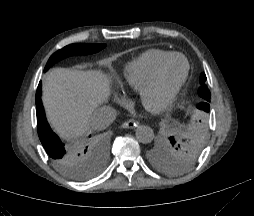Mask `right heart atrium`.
Returning a JSON list of instances; mask_svg holds the SVG:
<instances>
[{"label": "right heart atrium", "instance_id": "1", "mask_svg": "<svg viewBox=\"0 0 254 216\" xmlns=\"http://www.w3.org/2000/svg\"><path fill=\"white\" fill-rule=\"evenodd\" d=\"M117 102L120 104H126L128 102V99L127 97H120V98H117Z\"/></svg>", "mask_w": 254, "mask_h": 216}]
</instances>
